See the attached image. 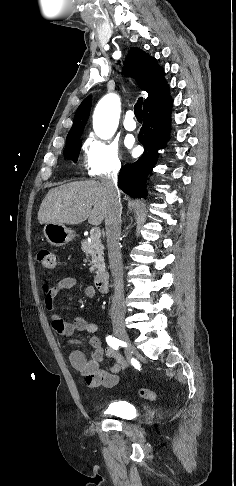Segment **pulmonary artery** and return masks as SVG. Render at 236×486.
<instances>
[{"instance_id":"1","label":"pulmonary artery","mask_w":236,"mask_h":486,"mask_svg":"<svg viewBox=\"0 0 236 486\" xmlns=\"http://www.w3.org/2000/svg\"><path fill=\"white\" fill-rule=\"evenodd\" d=\"M124 128L128 131H134L137 127L136 121L134 119V112L129 110L126 112L125 119L123 121Z\"/></svg>"}]
</instances>
